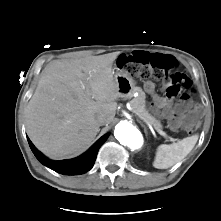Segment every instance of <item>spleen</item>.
<instances>
[{"instance_id": "obj_1", "label": "spleen", "mask_w": 221, "mask_h": 221, "mask_svg": "<svg viewBox=\"0 0 221 221\" xmlns=\"http://www.w3.org/2000/svg\"><path fill=\"white\" fill-rule=\"evenodd\" d=\"M198 135L183 138L173 144L158 146L153 166L157 169H167L184 159L194 148Z\"/></svg>"}]
</instances>
